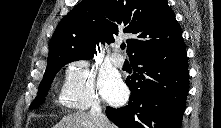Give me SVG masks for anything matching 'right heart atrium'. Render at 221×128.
<instances>
[{"instance_id": "right-heart-atrium-1", "label": "right heart atrium", "mask_w": 221, "mask_h": 128, "mask_svg": "<svg viewBox=\"0 0 221 128\" xmlns=\"http://www.w3.org/2000/svg\"><path fill=\"white\" fill-rule=\"evenodd\" d=\"M60 96L66 107L78 111L98 105L96 73L87 59L76 58L67 64Z\"/></svg>"}]
</instances>
